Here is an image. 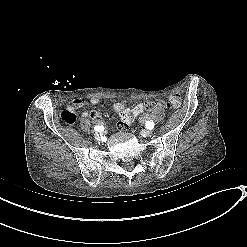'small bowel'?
I'll return each instance as SVG.
<instances>
[{"label": "small bowel", "mask_w": 247, "mask_h": 247, "mask_svg": "<svg viewBox=\"0 0 247 247\" xmlns=\"http://www.w3.org/2000/svg\"><path fill=\"white\" fill-rule=\"evenodd\" d=\"M87 102L86 98L79 97L76 98L72 105L68 107L69 111L73 112L75 109L82 107ZM90 103L92 105H98L100 103V99L98 97H92L90 99ZM170 103L173 107L177 108L181 104V96L179 94H173L170 96ZM112 109L119 116L118 127L121 130H127L134 119L140 117L142 122H146L151 119H160L161 118V109L156 108L152 112H145V106L143 104H137L132 108H127L123 103L116 102L112 105ZM83 118H92L97 120L99 118V114L97 112H83Z\"/></svg>", "instance_id": "1"}]
</instances>
